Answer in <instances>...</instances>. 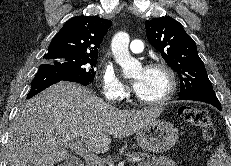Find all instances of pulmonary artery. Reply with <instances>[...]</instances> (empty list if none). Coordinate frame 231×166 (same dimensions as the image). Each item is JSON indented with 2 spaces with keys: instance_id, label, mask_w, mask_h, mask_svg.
Listing matches in <instances>:
<instances>
[{
  "instance_id": "1",
  "label": "pulmonary artery",
  "mask_w": 231,
  "mask_h": 166,
  "mask_svg": "<svg viewBox=\"0 0 231 166\" xmlns=\"http://www.w3.org/2000/svg\"><path fill=\"white\" fill-rule=\"evenodd\" d=\"M129 49L134 54L141 53L144 50V43L141 40H132Z\"/></svg>"
}]
</instances>
